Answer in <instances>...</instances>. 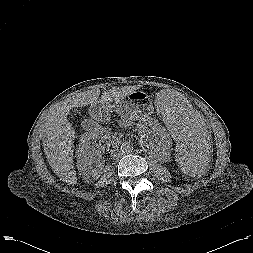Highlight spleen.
<instances>
[{"instance_id": "obj_1", "label": "spleen", "mask_w": 253, "mask_h": 253, "mask_svg": "<svg viewBox=\"0 0 253 253\" xmlns=\"http://www.w3.org/2000/svg\"><path fill=\"white\" fill-rule=\"evenodd\" d=\"M155 111L173 134L184 171L188 174L205 170L210 163L212 142L195 104L175 91L164 90L155 100Z\"/></svg>"}]
</instances>
